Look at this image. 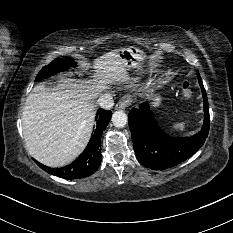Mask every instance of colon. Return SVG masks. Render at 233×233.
Listing matches in <instances>:
<instances>
[{
  "instance_id": "colon-1",
  "label": "colon",
  "mask_w": 233,
  "mask_h": 233,
  "mask_svg": "<svg viewBox=\"0 0 233 233\" xmlns=\"http://www.w3.org/2000/svg\"><path fill=\"white\" fill-rule=\"evenodd\" d=\"M182 95L185 100H190L192 98L193 92L192 87L189 82H184L181 86Z\"/></svg>"
}]
</instances>
